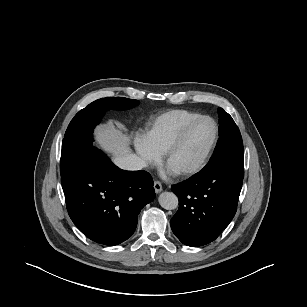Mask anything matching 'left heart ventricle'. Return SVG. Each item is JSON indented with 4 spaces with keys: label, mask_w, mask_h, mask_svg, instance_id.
Wrapping results in <instances>:
<instances>
[{
    "label": "left heart ventricle",
    "mask_w": 307,
    "mask_h": 307,
    "mask_svg": "<svg viewBox=\"0 0 307 307\" xmlns=\"http://www.w3.org/2000/svg\"><path fill=\"white\" fill-rule=\"evenodd\" d=\"M214 136V126L208 120L194 125L170 156L167 167L174 172L189 169L200 162Z\"/></svg>",
    "instance_id": "b2bd125f"
}]
</instances>
